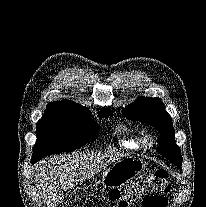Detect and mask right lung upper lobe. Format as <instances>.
Returning <instances> with one entry per match:
<instances>
[{
    "label": "right lung upper lobe",
    "mask_w": 206,
    "mask_h": 207,
    "mask_svg": "<svg viewBox=\"0 0 206 207\" xmlns=\"http://www.w3.org/2000/svg\"><path fill=\"white\" fill-rule=\"evenodd\" d=\"M47 107L50 108H64V109H71V110H77V111H83V112H89V110L86 107H83L80 104L63 100V101H56V102H51L48 104ZM109 109V108H106Z\"/></svg>",
    "instance_id": "right-lung-upper-lobe-1"
}]
</instances>
